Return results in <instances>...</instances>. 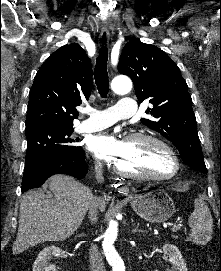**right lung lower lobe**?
I'll list each match as a JSON object with an SVG mask.
<instances>
[{
    "label": "right lung lower lobe",
    "instance_id": "right-lung-lower-lobe-1",
    "mask_svg": "<svg viewBox=\"0 0 221 271\" xmlns=\"http://www.w3.org/2000/svg\"><path fill=\"white\" fill-rule=\"evenodd\" d=\"M58 173L84 177L87 164L83 149L66 156L44 157L27 162L22 179V192L40 187L48 177Z\"/></svg>",
    "mask_w": 221,
    "mask_h": 271
}]
</instances>
